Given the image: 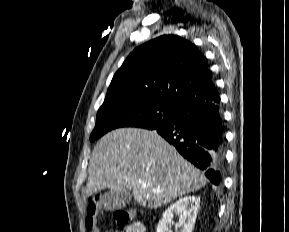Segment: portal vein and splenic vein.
I'll list each match as a JSON object with an SVG mask.
<instances>
[{
	"instance_id": "obj_1",
	"label": "portal vein and splenic vein",
	"mask_w": 289,
	"mask_h": 232,
	"mask_svg": "<svg viewBox=\"0 0 289 232\" xmlns=\"http://www.w3.org/2000/svg\"><path fill=\"white\" fill-rule=\"evenodd\" d=\"M143 188H147V184L146 183H141ZM155 192H160V190H154Z\"/></svg>"
}]
</instances>
